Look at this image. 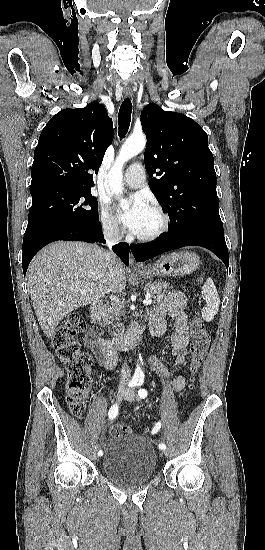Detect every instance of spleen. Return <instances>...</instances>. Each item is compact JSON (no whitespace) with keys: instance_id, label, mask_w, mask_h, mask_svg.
Masks as SVG:
<instances>
[{"instance_id":"obj_1","label":"spleen","mask_w":265,"mask_h":550,"mask_svg":"<svg viewBox=\"0 0 265 550\" xmlns=\"http://www.w3.org/2000/svg\"><path fill=\"white\" fill-rule=\"evenodd\" d=\"M202 296L206 301V307H204L201 312L202 317L206 322H210L217 314L220 305V298L211 278H208L204 284L202 288Z\"/></svg>"}]
</instances>
